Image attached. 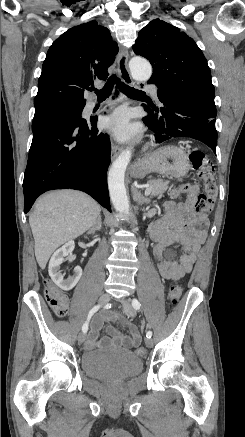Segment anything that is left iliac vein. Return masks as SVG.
<instances>
[{"label":"left iliac vein","instance_id":"1","mask_svg":"<svg viewBox=\"0 0 245 437\" xmlns=\"http://www.w3.org/2000/svg\"><path fill=\"white\" fill-rule=\"evenodd\" d=\"M120 301L124 307L126 315L128 317H134L136 315V311L131 305L130 301L128 299H121ZM145 343L148 347H151L153 345V340L151 338H146Z\"/></svg>","mask_w":245,"mask_h":437}]
</instances>
